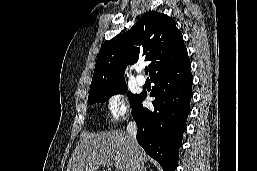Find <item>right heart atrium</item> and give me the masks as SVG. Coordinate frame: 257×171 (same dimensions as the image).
I'll return each mask as SVG.
<instances>
[{"label":"right heart atrium","instance_id":"right-heart-atrium-1","mask_svg":"<svg viewBox=\"0 0 257 171\" xmlns=\"http://www.w3.org/2000/svg\"><path fill=\"white\" fill-rule=\"evenodd\" d=\"M105 105L108 117L113 123L124 119L129 114L126 98L119 92L111 94L106 99Z\"/></svg>","mask_w":257,"mask_h":171}]
</instances>
